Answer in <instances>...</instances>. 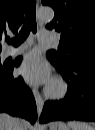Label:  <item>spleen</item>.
<instances>
[{"mask_svg":"<svg viewBox=\"0 0 95 130\" xmlns=\"http://www.w3.org/2000/svg\"><path fill=\"white\" fill-rule=\"evenodd\" d=\"M67 126L71 128V130H95V128L87 122L77 120L69 121Z\"/></svg>","mask_w":95,"mask_h":130,"instance_id":"3e777b00","label":"spleen"}]
</instances>
